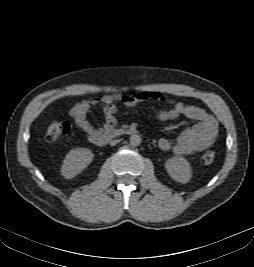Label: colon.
I'll return each mask as SVG.
<instances>
[{"mask_svg": "<svg viewBox=\"0 0 254 267\" xmlns=\"http://www.w3.org/2000/svg\"><path fill=\"white\" fill-rule=\"evenodd\" d=\"M70 130V124L66 121L51 123L45 133V138L48 141H56L66 135ZM215 155L212 151H207L201 157V161L204 165H210L213 163Z\"/></svg>", "mask_w": 254, "mask_h": 267, "instance_id": "5ec220e1", "label": "colon"}]
</instances>
